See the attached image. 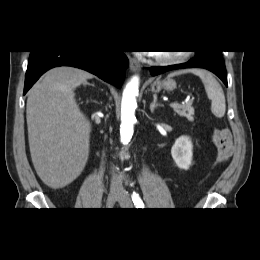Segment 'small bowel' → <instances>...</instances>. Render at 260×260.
<instances>
[{"instance_id": "small-bowel-1", "label": "small bowel", "mask_w": 260, "mask_h": 260, "mask_svg": "<svg viewBox=\"0 0 260 260\" xmlns=\"http://www.w3.org/2000/svg\"><path fill=\"white\" fill-rule=\"evenodd\" d=\"M212 141L217 148V160L225 161L233 153L231 134L228 130H216L213 132Z\"/></svg>"}]
</instances>
